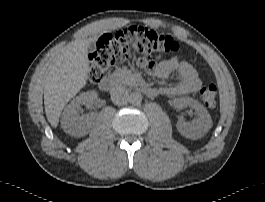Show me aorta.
Listing matches in <instances>:
<instances>
[{
    "label": "aorta",
    "instance_id": "obj_1",
    "mask_svg": "<svg viewBox=\"0 0 265 202\" xmlns=\"http://www.w3.org/2000/svg\"><path fill=\"white\" fill-rule=\"evenodd\" d=\"M129 102L132 105H139L142 102V95L139 92H132L129 96Z\"/></svg>",
    "mask_w": 265,
    "mask_h": 202
}]
</instances>
